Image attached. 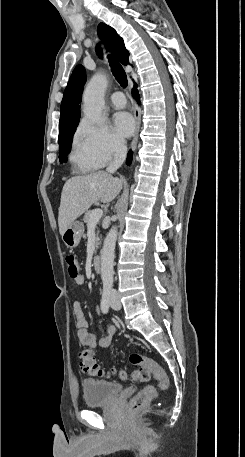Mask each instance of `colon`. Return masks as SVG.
<instances>
[{"label":"colon","instance_id":"colon-1","mask_svg":"<svg viewBox=\"0 0 245 457\" xmlns=\"http://www.w3.org/2000/svg\"><path fill=\"white\" fill-rule=\"evenodd\" d=\"M68 274L71 278L79 275V265L74 255L66 256ZM80 366L82 370L89 376L103 377L104 370L99 366L94 351L90 348H85L80 352ZM130 362L138 369L132 373L119 371L118 376L122 379L131 378L136 381H147L150 375H153L157 381L158 387L166 389L169 385V379L162 367L153 359L139 354H132ZM156 396V388L152 385L144 386L131 400L129 407L131 410H137L146 406Z\"/></svg>","mask_w":245,"mask_h":457}]
</instances>
